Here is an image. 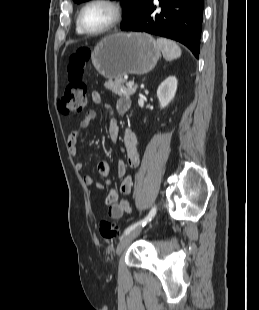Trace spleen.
I'll return each instance as SVG.
<instances>
[{
  "label": "spleen",
  "instance_id": "spleen-1",
  "mask_svg": "<svg viewBox=\"0 0 259 310\" xmlns=\"http://www.w3.org/2000/svg\"><path fill=\"white\" fill-rule=\"evenodd\" d=\"M157 44L166 61H172L181 56V49L174 41L165 38H158Z\"/></svg>",
  "mask_w": 259,
  "mask_h": 310
}]
</instances>
